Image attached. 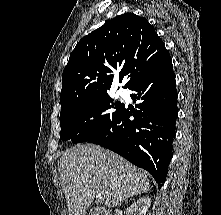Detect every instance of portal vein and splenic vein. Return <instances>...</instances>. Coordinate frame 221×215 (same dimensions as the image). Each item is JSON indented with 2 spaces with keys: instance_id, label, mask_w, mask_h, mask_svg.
Listing matches in <instances>:
<instances>
[{
  "instance_id": "18ae733b",
  "label": "portal vein and splenic vein",
  "mask_w": 221,
  "mask_h": 215,
  "mask_svg": "<svg viewBox=\"0 0 221 215\" xmlns=\"http://www.w3.org/2000/svg\"><path fill=\"white\" fill-rule=\"evenodd\" d=\"M96 198H97V200L99 202H103L104 201V198H103V196L101 194H97Z\"/></svg>"
}]
</instances>
